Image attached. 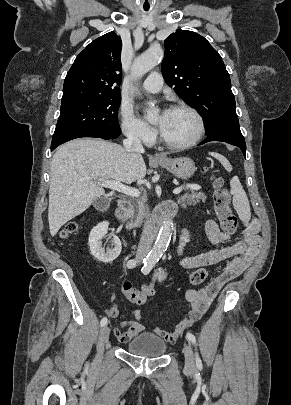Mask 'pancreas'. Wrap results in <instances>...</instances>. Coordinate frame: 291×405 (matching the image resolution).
<instances>
[{
	"label": "pancreas",
	"mask_w": 291,
	"mask_h": 405,
	"mask_svg": "<svg viewBox=\"0 0 291 405\" xmlns=\"http://www.w3.org/2000/svg\"><path fill=\"white\" fill-rule=\"evenodd\" d=\"M206 196L203 192H194L191 190L190 193H185L178 198V203L181 207L185 208L189 205H195L200 202V200L205 201ZM131 222L133 226H140L142 220L145 216L144 205L142 203L138 204V209L136 211H132L131 214Z\"/></svg>",
	"instance_id": "cf45deb5"
}]
</instances>
